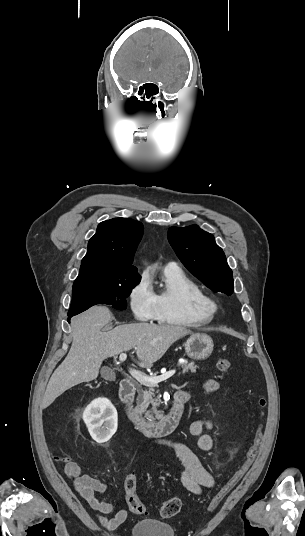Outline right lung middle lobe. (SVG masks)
<instances>
[{
  "label": "right lung middle lobe",
  "instance_id": "dd1d6c3e",
  "mask_svg": "<svg viewBox=\"0 0 305 536\" xmlns=\"http://www.w3.org/2000/svg\"><path fill=\"white\" fill-rule=\"evenodd\" d=\"M140 280L141 276L77 277L73 284V298L68 313L79 314L96 304L112 305L118 310H124L127 307L126 298Z\"/></svg>",
  "mask_w": 305,
  "mask_h": 536
}]
</instances>
